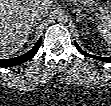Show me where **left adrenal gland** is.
I'll use <instances>...</instances> for the list:
<instances>
[{
  "label": "left adrenal gland",
  "instance_id": "obj_1",
  "mask_svg": "<svg viewBox=\"0 0 111 106\" xmlns=\"http://www.w3.org/2000/svg\"><path fill=\"white\" fill-rule=\"evenodd\" d=\"M73 12L76 13V15H77V21H79V19L81 17H83V16L86 17L87 16L86 14H83L80 9H74ZM89 19H90V17H89Z\"/></svg>",
  "mask_w": 111,
  "mask_h": 106
}]
</instances>
